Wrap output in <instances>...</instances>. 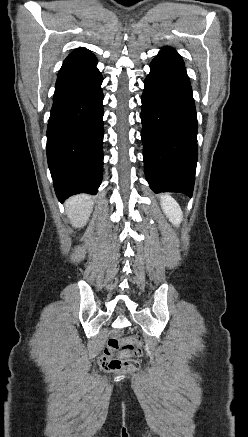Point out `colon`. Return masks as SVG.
Listing matches in <instances>:
<instances>
[{
    "mask_svg": "<svg viewBox=\"0 0 248 437\" xmlns=\"http://www.w3.org/2000/svg\"><path fill=\"white\" fill-rule=\"evenodd\" d=\"M141 338L133 336L126 339L111 337L100 358V367L108 372L128 373L139 367L142 355Z\"/></svg>",
    "mask_w": 248,
    "mask_h": 437,
    "instance_id": "5ec220e1",
    "label": "colon"
}]
</instances>
